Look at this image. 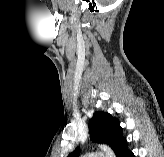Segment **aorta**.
<instances>
[{
  "mask_svg": "<svg viewBox=\"0 0 164 157\" xmlns=\"http://www.w3.org/2000/svg\"><path fill=\"white\" fill-rule=\"evenodd\" d=\"M99 148L105 153L106 157H115L114 151L106 144L99 145Z\"/></svg>",
  "mask_w": 164,
  "mask_h": 157,
  "instance_id": "1",
  "label": "aorta"
}]
</instances>
